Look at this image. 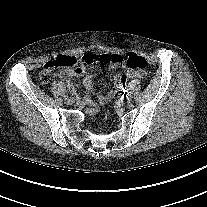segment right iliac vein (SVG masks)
I'll return each instance as SVG.
<instances>
[{"mask_svg": "<svg viewBox=\"0 0 207 207\" xmlns=\"http://www.w3.org/2000/svg\"><path fill=\"white\" fill-rule=\"evenodd\" d=\"M66 103H67L68 105H72V104L74 103V98H69V99H67Z\"/></svg>", "mask_w": 207, "mask_h": 207, "instance_id": "right-iliac-vein-1", "label": "right iliac vein"}]
</instances>
